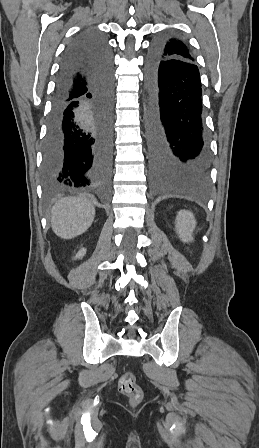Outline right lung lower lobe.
<instances>
[{
    "label": "right lung lower lobe",
    "instance_id": "right-lung-lower-lobe-1",
    "mask_svg": "<svg viewBox=\"0 0 259 448\" xmlns=\"http://www.w3.org/2000/svg\"><path fill=\"white\" fill-rule=\"evenodd\" d=\"M84 73L86 83L76 85ZM113 64L107 39L88 29L72 40L61 60L42 175L49 186L106 185L113 158Z\"/></svg>",
    "mask_w": 259,
    "mask_h": 448
}]
</instances>
